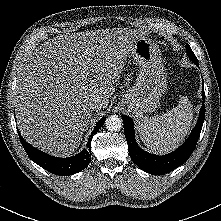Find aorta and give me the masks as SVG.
I'll return each mask as SVG.
<instances>
[{
	"label": "aorta",
	"mask_w": 221,
	"mask_h": 221,
	"mask_svg": "<svg viewBox=\"0 0 221 221\" xmlns=\"http://www.w3.org/2000/svg\"><path fill=\"white\" fill-rule=\"evenodd\" d=\"M106 127L109 131H118L122 128V120L117 115H111L106 119Z\"/></svg>",
	"instance_id": "obj_1"
}]
</instances>
